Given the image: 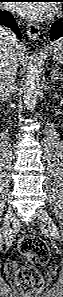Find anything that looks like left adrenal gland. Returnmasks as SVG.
Here are the masks:
<instances>
[{
	"label": "left adrenal gland",
	"instance_id": "left-adrenal-gland-1",
	"mask_svg": "<svg viewBox=\"0 0 63 297\" xmlns=\"http://www.w3.org/2000/svg\"><path fill=\"white\" fill-rule=\"evenodd\" d=\"M62 80V77L59 75V73L55 70L52 69L51 71V81L55 83L56 81Z\"/></svg>",
	"mask_w": 63,
	"mask_h": 297
}]
</instances>
